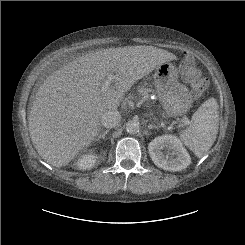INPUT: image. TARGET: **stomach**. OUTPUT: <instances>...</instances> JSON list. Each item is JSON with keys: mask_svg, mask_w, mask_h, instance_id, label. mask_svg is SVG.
Masks as SVG:
<instances>
[{"mask_svg": "<svg viewBox=\"0 0 245 245\" xmlns=\"http://www.w3.org/2000/svg\"><path fill=\"white\" fill-rule=\"evenodd\" d=\"M178 76V70L169 62L157 66L153 74L156 94L167 117L181 116L192 107L189 90Z\"/></svg>", "mask_w": 245, "mask_h": 245, "instance_id": "0dacf381", "label": "stomach"}]
</instances>
